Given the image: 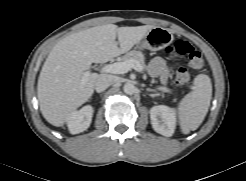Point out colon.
I'll return each mask as SVG.
<instances>
[{
    "mask_svg": "<svg viewBox=\"0 0 246 181\" xmlns=\"http://www.w3.org/2000/svg\"><path fill=\"white\" fill-rule=\"evenodd\" d=\"M168 56H185L188 59L189 66L192 69L199 70L204 66V60L201 53L189 42L177 40L165 48ZM190 80V74L185 66H180L176 70V83L186 85Z\"/></svg>",
    "mask_w": 246,
    "mask_h": 181,
    "instance_id": "1",
    "label": "colon"
}]
</instances>
